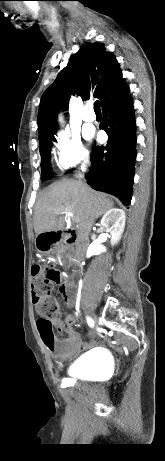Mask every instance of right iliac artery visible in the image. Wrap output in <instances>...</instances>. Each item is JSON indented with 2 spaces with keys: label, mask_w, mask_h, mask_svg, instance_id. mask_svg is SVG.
<instances>
[{
  "label": "right iliac artery",
  "mask_w": 165,
  "mask_h": 461,
  "mask_svg": "<svg viewBox=\"0 0 165 461\" xmlns=\"http://www.w3.org/2000/svg\"><path fill=\"white\" fill-rule=\"evenodd\" d=\"M87 322L91 327L94 325L93 320L91 318H87Z\"/></svg>",
  "instance_id": "82829eb1"
}]
</instances>
